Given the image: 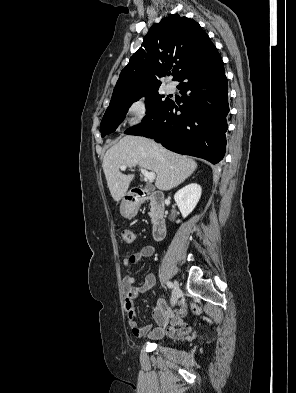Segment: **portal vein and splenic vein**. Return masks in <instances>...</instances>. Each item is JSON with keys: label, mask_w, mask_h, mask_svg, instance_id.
Masks as SVG:
<instances>
[{"label": "portal vein and splenic vein", "mask_w": 296, "mask_h": 393, "mask_svg": "<svg viewBox=\"0 0 296 393\" xmlns=\"http://www.w3.org/2000/svg\"><path fill=\"white\" fill-rule=\"evenodd\" d=\"M126 167H127V165H122V166L120 167V169H121L122 171H124V170L126 169ZM141 173L144 175V177H145L146 179H148V180H150V181H152V180H154V179L156 178V175H155L154 172H148L147 170L142 169V168H141Z\"/></svg>", "instance_id": "portal-vein-and-splenic-vein-1"}]
</instances>
